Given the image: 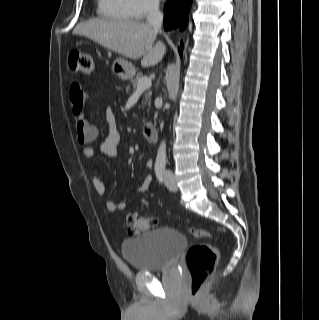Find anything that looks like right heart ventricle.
<instances>
[{"instance_id":"e07e8e85","label":"right heart ventricle","mask_w":319,"mask_h":320,"mask_svg":"<svg viewBox=\"0 0 319 320\" xmlns=\"http://www.w3.org/2000/svg\"><path fill=\"white\" fill-rule=\"evenodd\" d=\"M97 11L110 20L128 21L132 18L126 0H98Z\"/></svg>"}]
</instances>
